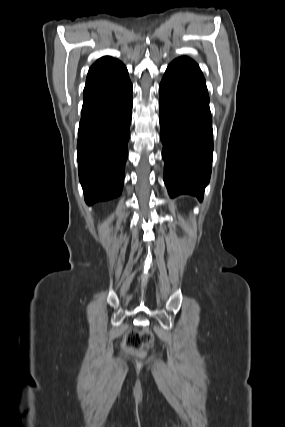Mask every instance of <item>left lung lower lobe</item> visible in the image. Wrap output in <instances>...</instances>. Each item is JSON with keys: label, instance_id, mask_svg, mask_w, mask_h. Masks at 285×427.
Segmentation results:
<instances>
[{"label": "left lung lower lobe", "instance_id": "0a47b994", "mask_svg": "<svg viewBox=\"0 0 285 427\" xmlns=\"http://www.w3.org/2000/svg\"><path fill=\"white\" fill-rule=\"evenodd\" d=\"M164 182L171 197L203 199L213 152L212 118L206 82L188 57L175 59L159 86Z\"/></svg>", "mask_w": 285, "mask_h": 427}]
</instances>
